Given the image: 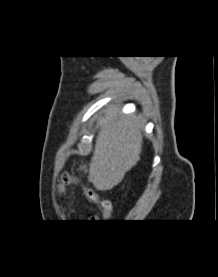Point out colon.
<instances>
[{"mask_svg":"<svg viewBox=\"0 0 218 277\" xmlns=\"http://www.w3.org/2000/svg\"><path fill=\"white\" fill-rule=\"evenodd\" d=\"M72 182H75L73 177L68 174H63L59 180V190L62 191L66 185ZM85 192L89 199L98 204L103 216L109 217L111 214V203L108 200L98 198L97 195L89 189H86Z\"/></svg>","mask_w":218,"mask_h":277,"instance_id":"5ec220e1","label":"colon"}]
</instances>
